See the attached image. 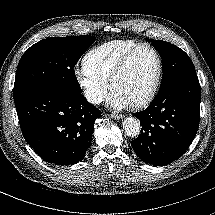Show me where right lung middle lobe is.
I'll return each instance as SVG.
<instances>
[{"mask_svg": "<svg viewBox=\"0 0 215 215\" xmlns=\"http://www.w3.org/2000/svg\"><path fill=\"white\" fill-rule=\"evenodd\" d=\"M94 41V36L82 35L51 37L32 45L17 67L14 101L47 88L81 93L74 66Z\"/></svg>", "mask_w": 215, "mask_h": 215, "instance_id": "obj_1", "label": "right lung middle lobe"}]
</instances>
